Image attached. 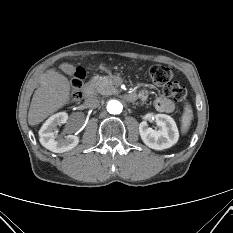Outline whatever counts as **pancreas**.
<instances>
[{
  "label": "pancreas",
  "mask_w": 233,
  "mask_h": 233,
  "mask_svg": "<svg viewBox=\"0 0 233 233\" xmlns=\"http://www.w3.org/2000/svg\"><path fill=\"white\" fill-rule=\"evenodd\" d=\"M90 86L93 92L101 95H111L116 91L112 79L107 76H94L90 81Z\"/></svg>",
  "instance_id": "obj_1"
}]
</instances>
